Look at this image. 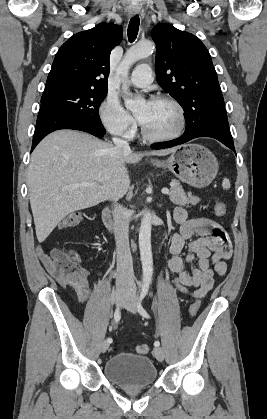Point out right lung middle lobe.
<instances>
[{
  "label": "right lung middle lobe",
  "instance_id": "right-lung-middle-lobe-1",
  "mask_svg": "<svg viewBox=\"0 0 267 419\" xmlns=\"http://www.w3.org/2000/svg\"><path fill=\"white\" fill-rule=\"evenodd\" d=\"M107 90L63 89L44 92L41 105L58 108L83 121L99 124V107Z\"/></svg>",
  "mask_w": 267,
  "mask_h": 419
}]
</instances>
